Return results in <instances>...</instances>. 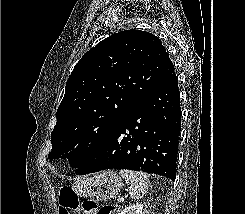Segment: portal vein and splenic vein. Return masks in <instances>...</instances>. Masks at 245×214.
Instances as JSON below:
<instances>
[{"instance_id":"1","label":"portal vein and splenic vein","mask_w":245,"mask_h":214,"mask_svg":"<svg viewBox=\"0 0 245 214\" xmlns=\"http://www.w3.org/2000/svg\"><path fill=\"white\" fill-rule=\"evenodd\" d=\"M123 201H124V198L123 197H121V198L118 199V203H122Z\"/></svg>"}]
</instances>
